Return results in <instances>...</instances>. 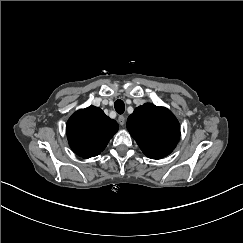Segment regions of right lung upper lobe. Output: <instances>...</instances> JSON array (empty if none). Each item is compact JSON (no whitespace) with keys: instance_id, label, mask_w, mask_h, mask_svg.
I'll return each instance as SVG.
<instances>
[{"instance_id":"cb5924a9","label":"right lung upper lobe","mask_w":243,"mask_h":243,"mask_svg":"<svg viewBox=\"0 0 243 243\" xmlns=\"http://www.w3.org/2000/svg\"><path fill=\"white\" fill-rule=\"evenodd\" d=\"M67 138L73 152L82 158L100 154L118 131L116 121L95 106L75 112L67 122Z\"/></svg>"}]
</instances>
